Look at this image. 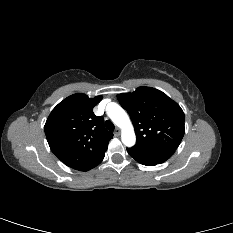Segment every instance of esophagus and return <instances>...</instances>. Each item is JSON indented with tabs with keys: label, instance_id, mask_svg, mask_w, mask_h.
Instances as JSON below:
<instances>
[{
	"label": "esophagus",
	"instance_id": "34e87169",
	"mask_svg": "<svg viewBox=\"0 0 233 233\" xmlns=\"http://www.w3.org/2000/svg\"><path fill=\"white\" fill-rule=\"evenodd\" d=\"M120 133H121V129H120V128H116L114 134H115L116 136H119Z\"/></svg>",
	"mask_w": 233,
	"mask_h": 233
}]
</instances>
